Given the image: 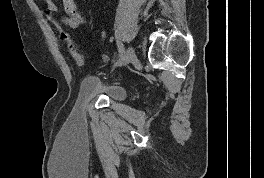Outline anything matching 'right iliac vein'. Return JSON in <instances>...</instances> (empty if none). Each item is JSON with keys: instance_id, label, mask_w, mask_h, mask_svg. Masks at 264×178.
I'll use <instances>...</instances> for the list:
<instances>
[{"instance_id": "obj_1", "label": "right iliac vein", "mask_w": 264, "mask_h": 178, "mask_svg": "<svg viewBox=\"0 0 264 178\" xmlns=\"http://www.w3.org/2000/svg\"><path fill=\"white\" fill-rule=\"evenodd\" d=\"M132 53H133V49H132V47H129L126 50V52L124 51L123 55L121 56L119 61L116 63V66H118V67L125 66L128 63L129 58H130Z\"/></svg>"}]
</instances>
